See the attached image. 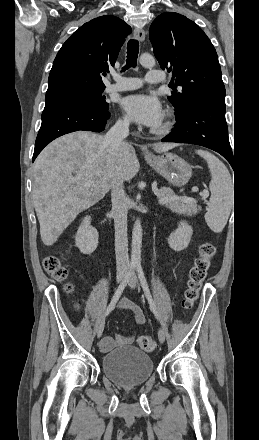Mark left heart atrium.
<instances>
[{"instance_id": "39dd6f15", "label": "left heart atrium", "mask_w": 259, "mask_h": 440, "mask_svg": "<svg viewBox=\"0 0 259 440\" xmlns=\"http://www.w3.org/2000/svg\"><path fill=\"white\" fill-rule=\"evenodd\" d=\"M121 106L131 120L148 127L162 122L163 110L160 102L147 94H132L121 100Z\"/></svg>"}]
</instances>
